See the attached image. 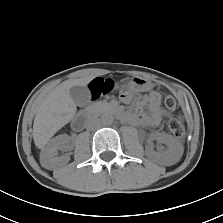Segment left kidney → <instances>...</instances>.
Segmentation results:
<instances>
[{
	"label": "left kidney",
	"instance_id": "1",
	"mask_svg": "<svg viewBox=\"0 0 223 223\" xmlns=\"http://www.w3.org/2000/svg\"><path fill=\"white\" fill-rule=\"evenodd\" d=\"M152 140H156L160 143L158 151L153 149ZM161 144L166 145V148ZM182 154V145L173 136L166 133L153 134L149 140V147L146 149V155L148 158L164 165L175 164L180 160Z\"/></svg>",
	"mask_w": 223,
	"mask_h": 223
}]
</instances>
